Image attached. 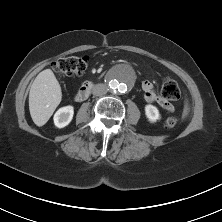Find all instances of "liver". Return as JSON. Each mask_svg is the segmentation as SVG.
I'll return each instance as SVG.
<instances>
[{"instance_id": "6515ba94", "label": "liver", "mask_w": 222, "mask_h": 222, "mask_svg": "<svg viewBox=\"0 0 222 222\" xmlns=\"http://www.w3.org/2000/svg\"><path fill=\"white\" fill-rule=\"evenodd\" d=\"M62 92L51 69L40 72L33 81L29 92V111L33 122L43 126L60 104Z\"/></svg>"}]
</instances>
